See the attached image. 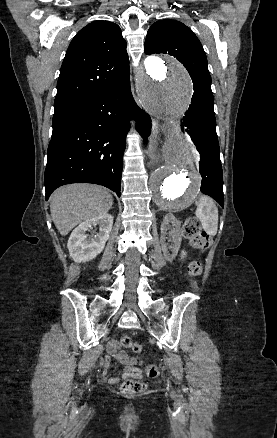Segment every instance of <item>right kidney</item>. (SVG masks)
I'll list each match as a JSON object with an SVG mask.
<instances>
[{"label":"right kidney","mask_w":277,"mask_h":438,"mask_svg":"<svg viewBox=\"0 0 277 438\" xmlns=\"http://www.w3.org/2000/svg\"><path fill=\"white\" fill-rule=\"evenodd\" d=\"M99 226L98 234L88 236L89 228ZM113 226V216L101 214L96 218H90L86 222L79 224L73 230L67 244L69 254L74 262H89L101 254L109 238Z\"/></svg>","instance_id":"right-kidney-1"}]
</instances>
